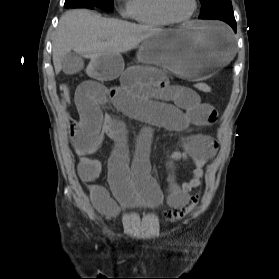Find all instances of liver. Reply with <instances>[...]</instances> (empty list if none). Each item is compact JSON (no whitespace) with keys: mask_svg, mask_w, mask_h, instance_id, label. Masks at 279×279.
<instances>
[{"mask_svg":"<svg viewBox=\"0 0 279 279\" xmlns=\"http://www.w3.org/2000/svg\"><path fill=\"white\" fill-rule=\"evenodd\" d=\"M161 28L137 25L86 10L67 11L61 18L53 41L55 73L62 69V60L72 50L95 61L103 55H120L162 32Z\"/></svg>","mask_w":279,"mask_h":279,"instance_id":"6515ba94","label":"liver"}]
</instances>
